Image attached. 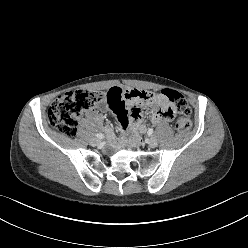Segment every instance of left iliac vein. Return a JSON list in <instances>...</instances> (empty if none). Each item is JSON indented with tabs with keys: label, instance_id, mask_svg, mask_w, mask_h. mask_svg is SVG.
Returning <instances> with one entry per match:
<instances>
[{
	"label": "left iliac vein",
	"instance_id": "left-iliac-vein-1",
	"mask_svg": "<svg viewBox=\"0 0 248 248\" xmlns=\"http://www.w3.org/2000/svg\"><path fill=\"white\" fill-rule=\"evenodd\" d=\"M148 144L150 147H156L158 144V141L155 137H150L148 140Z\"/></svg>",
	"mask_w": 248,
	"mask_h": 248
}]
</instances>
